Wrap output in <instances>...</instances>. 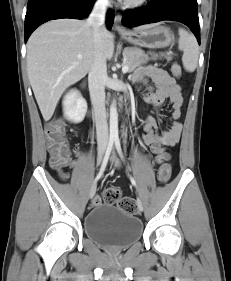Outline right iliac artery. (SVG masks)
<instances>
[{
  "label": "right iliac artery",
  "mask_w": 231,
  "mask_h": 281,
  "mask_svg": "<svg viewBox=\"0 0 231 281\" xmlns=\"http://www.w3.org/2000/svg\"><path fill=\"white\" fill-rule=\"evenodd\" d=\"M113 143H114V139L110 138L109 142H108L106 152H105V155H104V158L102 160L100 170H99L98 174L96 175V177L94 179V183H96L101 178V176H102V174H103V172H104V170L107 166V163H108V160H109L112 148H113Z\"/></svg>",
  "instance_id": "1"
}]
</instances>
